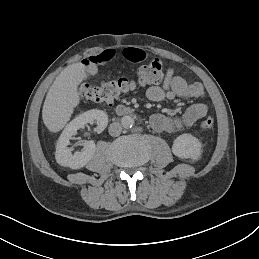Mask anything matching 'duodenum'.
Instances as JSON below:
<instances>
[{
	"mask_svg": "<svg viewBox=\"0 0 259 259\" xmlns=\"http://www.w3.org/2000/svg\"><path fill=\"white\" fill-rule=\"evenodd\" d=\"M115 111L117 115L119 116H130L134 114V110L130 107L124 106V105H118L115 108Z\"/></svg>",
	"mask_w": 259,
	"mask_h": 259,
	"instance_id": "410a0bca",
	"label": "duodenum"
}]
</instances>
